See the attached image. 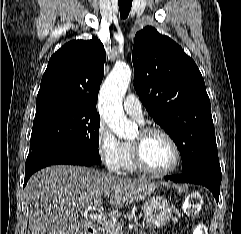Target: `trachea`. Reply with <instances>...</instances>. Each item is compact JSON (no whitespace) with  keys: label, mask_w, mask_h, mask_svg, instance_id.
I'll return each instance as SVG.
<instances>
[{"label":"trachea","mask_w":241,"mask_h":234,"mask_svg":"<svg viewBox=\"0 0 241 234\" xmlns=\"http://www.w3.org/2000/svg\"><path fill=\"white\" fill-rule=\"evenodd\" d=\"M118 5L120 9L121 18H127L132 6V0H119Z\"/></svg>","instance_id":"obj_1"}]
</instances>
